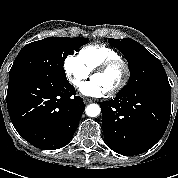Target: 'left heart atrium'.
Returning <instances> with one entry per match:
<instances>
[{"mask_svg":"<svg viewBox=\"0 0 178 178\" xmlns=\"http://www.w3.org/2000/svg\"><path fill=\"white\" fill-rule=\"evenodd\" d=\"M79 91L82 95L87 97H101L107 93L106 88L96 80H91L83 83Z\"/></svg>","mask_w":178,"mask_h":178,"instance_id":"1","label":"left heart atrium"}]
</instances>
